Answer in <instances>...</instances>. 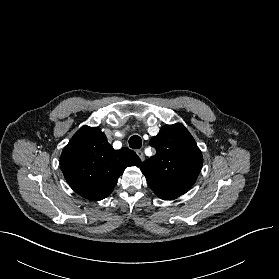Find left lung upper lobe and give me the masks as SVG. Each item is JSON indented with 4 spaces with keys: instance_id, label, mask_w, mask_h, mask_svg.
I'll return each instance as SVG.
<instances>
[{
    "instance_id": "5c2ea615",
    "label": "left lung upper lobe",
    "mask_w": 279,
    "mask_h": 279,
    "mask_svg": "<svg viewBox=\"0 0 279 279\" xmlns=\"http://www.w3.org/2000/svg\"><path fill=\"white\" fill-rule=\"evenodd\" d=\"M150 145L157 153L145 160L141 171L149 187L163 200H174L195 183L203 164L200 149L180 123L165 125Z\"/></svg>"
}]
</instances>
